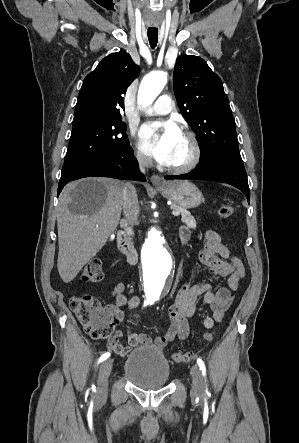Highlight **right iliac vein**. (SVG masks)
Returning <instances> with one entry per match:
<instances>
[{"label": "right iliac vein", "mask_w": 299, "mask_h": 443, "mask_svg": "<svg viewBox=\"0 0 299 443\" xmlns=\"http://www.w3.org/2000/svg\"><path fill=\"white\" fill-rule=\"evenodd\" d=\"M112 362V359H108L100 366L97 385L98 400H103L107 395L108 376L112 368Z\"/></svg>", "instance_id": "obj_1"}]
</instances>
